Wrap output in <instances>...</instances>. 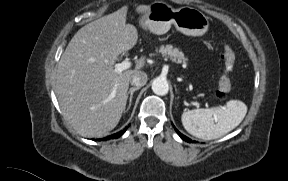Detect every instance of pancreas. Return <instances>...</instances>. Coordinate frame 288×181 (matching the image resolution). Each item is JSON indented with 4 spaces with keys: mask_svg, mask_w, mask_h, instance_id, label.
Segmentation results:
<instances>
[{
    "mask_svg": "<svg viewBox=\"0 0 288 181\" xmlns=\"http://www.w3.org/2000/svg\"><path fill=\"white\" fill-rule=\"evenodd\" d=\"M157 52L161 53L163 56L169 57L176 63L186 64L187 58L184 56L183 52L172 45L161 46Z\"/></svg>",
    "mask_w": 288,
    "mask_h": 181,
    "instance_id": "obj_1",
    "label": "pancreas"
}]
</instances>
